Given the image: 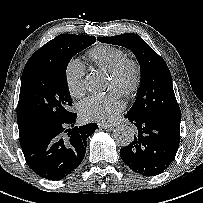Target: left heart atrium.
Returning a JSON list of instances; mask_svg holds the SVG:
<instances>
[{"instance_id": "left-heart-atrium-1", "label": "left heart atrium", "mask_w": 203, "mask_h": 203, "mask_svg": "<svg viewBox=\"0 0 203 203\" xmlns=\"http://www.w3.org/2000/svg\"><path fill=\"white\" fill-rule=\"evenodd\" d=\"M124 104L117 98L90 96L79 105V113L86 121L110 122L123 110Z\"/></svg>"}]
</instances>
